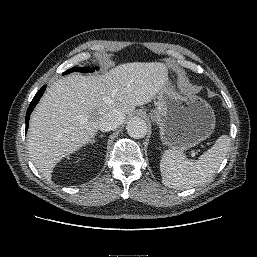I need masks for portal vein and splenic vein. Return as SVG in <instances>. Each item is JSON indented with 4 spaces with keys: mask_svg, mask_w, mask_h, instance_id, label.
Listing matches in <instances>:
<instances>
[{
    "mask_svg": "<svg viewBox=\"0 0 257 257\" xmlns=\"http://www.w3.org/2000/svg\"><path fill=\"white\" fill-rule=\"evenodd\" d=\"M192 156L194 157V156H195V153H192Z\"/></svg>",
    "mask_w": 257,
    "mask_h": 257,
    "instance_id": "1",
    "label": "portal vein and splenic vein"
}]
</instances>
